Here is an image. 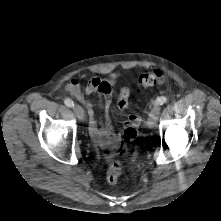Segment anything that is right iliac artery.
I'll list each match as a JSON object with an SVG mask.
<instances>
[{
  "label": "right iliac artery",
  "instance_id": "1",
  "mask_svg": "<svg viewBox=\"0 0 221 221\" xmlns=\"http://www.w3.org/2000/svg\"><path fill=\"white\" fill-rule=\"evenodd\" d=\"M64 103H65V105L68 106V107H73V106H74L73 101H72L71 99H69V98L65 99V100H64Z\"/></svg>",
  "mask_w": 221,
  "mask_h": 221
}]
</instances>
